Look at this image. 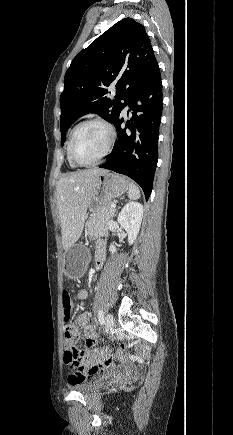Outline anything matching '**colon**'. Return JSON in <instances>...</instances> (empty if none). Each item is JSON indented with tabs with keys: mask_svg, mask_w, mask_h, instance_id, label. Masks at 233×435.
Returning <instances> with one entry per match:
<instances>
[{
	"mask_svg": "<svg viewBox=\"0 0 233 435\" xmlns=\"http://www.w3.org/2000/svg\"><path fill=\"white\" fill-rule=\"evenodd\" d=\"M61 302L64 320L68 322L72 316L73 305L67 289H63L62 291ZM64 333L68 345L64 352V363L70 368L78 366L83 358L82 350L77 346L80 338L79 330L76 326L68 324L65 326ZM109 353L110 350L95 352L93 354V362L88 365L87 371L98 372L102 366L104 357Z\"/></svg>",
	"mask_w": 233,
	"mask_h": 435,
	"instance_id": "5ec220e1",
	"label": "colon"
}]
</instances>
